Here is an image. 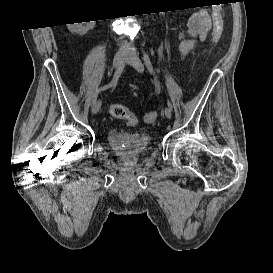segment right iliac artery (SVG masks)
Here are the masks:
<instances>
[{"mask_svg":"<svg viewBox=\"0 0 273 273\" xmlns=\"http://www.w3.org/2000/svg\"><path fill=\"white\" fill-rule=\"evenodd\" d=\"M124 67H125V64H122V66L115 72L112 81L109 84L103 86L102 88H100L99 90L96 91V93L94 94L93 100H92V106L95 104V102L97 100L98 93L100 91L107 90L108 88H111L112 86H114L117 83Z\"/></svg>","mask_w":273,"mask_h":273,"instance_id":"82829eb1","label":"right iliac artery"}]
</instances>
